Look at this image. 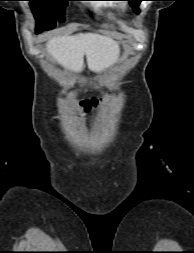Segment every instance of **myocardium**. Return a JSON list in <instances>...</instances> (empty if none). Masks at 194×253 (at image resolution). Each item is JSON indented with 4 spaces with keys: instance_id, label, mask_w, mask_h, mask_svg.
<instances>
[{
    "instance_id": "f54148a6",
    "label": "myocardium",
    "mask_w": 194,
    "mask_h": 253,
    "mask_svg": "<svg viewBox=\"0 0 194 253\" xmlns=\"http://www.w3.org/2000/svg\"><path fill=\"white\" fill-rule=\"evenodd\" d=\"M121 7H122L123 9H126V8H127V5H126V4H122Z\"/></svg>"
}]
</instances>
